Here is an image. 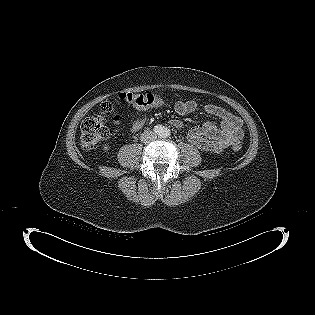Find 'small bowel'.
<instances>
[{"label":"small bowel","instance_id":"1","mask_svg":"<svg viewBox=\"0 0 315 315\" xmlns=\"http://www.w3.org/2000/svg\"><path fill=\"white\" fill-rule=\"evenodd\" d=\"M174 109L178 115L190 114L196 111L197 103L194 100H180L175 103ZM204 110L207 114L216 117L219 125L206 121L190 128L187 132V139L190 143L203 151L210 152H220L230 146L241 144L244 132L239 117L215 104L205 105ZM143 122V117L134 118L132 126L134 129H139ZM170 124L177 129L184 126L179 119H171Z\"/></svg>","mask_w":315,"mask_h":315}]
</instances>
